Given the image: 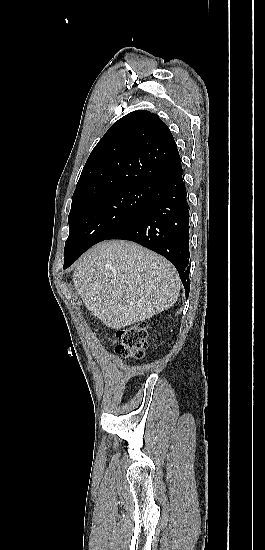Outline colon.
<instances>
[{
    "instance_id": "obj_1",
    "label": "colon",
    "mask_w": 265,
    "mask_h": 550,
    "mask_svg": "<svg viewBox=\"0 0 265 550\" xmlns=\"http://www.w3.org/2000/svg\"><path fill=\"white\" fill-rule=\"evenodd\" d=\"M147 334V324L144 322L118 330L116 336L120 344L115 347V352L125 358H142L147 347Z\"/></svg>"
}]
</instances>
